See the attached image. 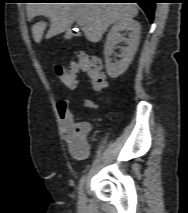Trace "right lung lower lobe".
I'll use <instances>...</instances> for the list:
<instances>
[{"mask_svg":"<svg viewBox=\"0 0 188 213\" xmlns=\"http://www.w3.org/2000/svg\"><path fill=\"white\" fill-rule=\"evenodd\" d=\"M98 1H132L138 3L145 11L150 22L153 21L156 0H98Z\"/></svg>","mask_w":188,"mask_h":213,"instance_id":"1","label":"right lung lower lobe"}]
</instances>
